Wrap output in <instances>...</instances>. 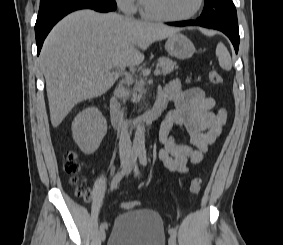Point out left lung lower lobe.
I'll list each match as a JSON object with an SVG mask.
<instances>
[{"label":"left lung lower lobe","mask_w":283,"mask_h":245,"mask_svg":"<svg viewBox=\"0 0 283 245\" xmlns=\"http://www.w3.org/2000/svg\"><path fill=\"white\" fill-rule=\"evenodd\" d=\"M168 25H172V26L200 25L202 27L220 30L229 37L232 44L234 45L236 53L238 52L239 40H240L239 31H234V30H231V29L226 28V27L221 26V25L204 24V23L199 22L198 20H196V21L190 20V21H181V22H171V23H168Z\"/></svg>","instance_id":"1"}]
</instances>
